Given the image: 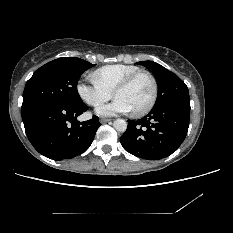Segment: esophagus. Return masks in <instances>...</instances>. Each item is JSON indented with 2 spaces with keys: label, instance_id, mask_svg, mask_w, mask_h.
Segmentation results:
<instances>
[{
  "label": "esophagus",
  "instance_id": "1",
  "mask_svg": "<svg viewBox=\"0 0 233 233\" xmlns=\"http://www.w3.org/2000/svg\"><path fill=\"white\" fill-rule=\"evenodd\" d=\"M110 121H111V119H107V118H101V119H100V123H102V124L108 123V122H110Z\"/></svg>",
  "mask_w": 233,
  "mask_h": 233
}]
</instances>
